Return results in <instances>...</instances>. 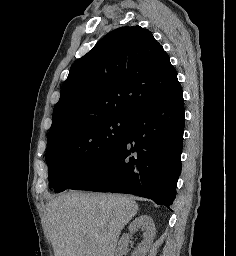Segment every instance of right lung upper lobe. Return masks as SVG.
<instances>
[{"label": "right lung upper lobe", "mask_w": 236, "mask_h": 256, "mask_svg": "<svg viewBox=\"0 0 236 256\" xmlns=\"http://www.w3.org/2000/svg\"><path fill=\"white\" fill-rule=\"evenodd\" d=\"M179 85L167 53L150 31L138 25L117 28L73 63L48 136L93 120L134 119Z\"/></svg>", "instance_id": "1"}]
</instances>
